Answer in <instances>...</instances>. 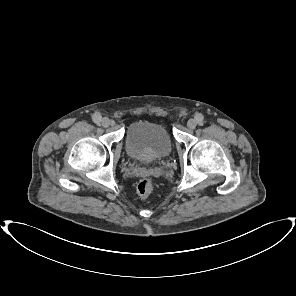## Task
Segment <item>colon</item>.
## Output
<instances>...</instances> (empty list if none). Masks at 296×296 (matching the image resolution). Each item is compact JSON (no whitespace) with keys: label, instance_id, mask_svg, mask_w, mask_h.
<instances>
[{"label":"colon","instance_id":"colon-1","mask_svg":"<svg viewBox=\"0 0 296 296\" xmlns=\"http://www.w3.org/2000/svg\"><path fill=\"white\" fill-rule=\"evenodd\" d=\"M137 189L141 196L148 197L153 193L154 184L152 180L145 178L140 180Z\"/></svg>","mask_w":296,"mask_h":296}]
</instances>
